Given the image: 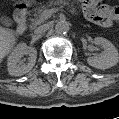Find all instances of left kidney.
<instances>
[{
  "instance_id": "left-kidney-1",
  "label": "left kidney",
  "mask_w": 119,
  "mask_h": 119,
  "mask_svg": "<svg viewBox=\"0 0 119 119\" xmlns=\"http://www.w3.org/2000/svg\"><path fill=\"white\" fill-rule=\"evenodd\" d=\"M94 44L102 46L104 51L99 56L88 57L87 63L90 66L104 70L118 63V51L110 41L103 37H95Z\"/></svg>"
}]
</instances>
